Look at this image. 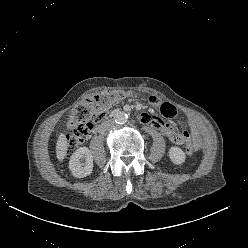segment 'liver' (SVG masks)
Listing matches in <instances>:
<instances>
[{
	"label": "liver",
	"instance_id": "6515ba94",
	"mask_svg": "<svg viewBox=\"0 0 248 248\" xmlns=\"http://www.w3.org/2000/svg\"><path fill=\"white\" fill-rule=\"evenodd\" d=\"M67 152V142L65 136L61 134L56 143V157L59 161H62L66 156Z\"/></svg>",
	"mask_w": 248,
	"mask_h": 248
}]
</instances>
